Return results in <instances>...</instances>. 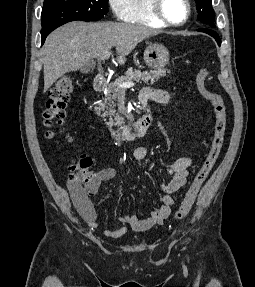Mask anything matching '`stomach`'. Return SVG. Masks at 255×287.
<instances>
[{"label": "stomach", "instance_id": "1", "mask_svg": "<svg viewBox=\"0 0 255 287\" xmlns=\"http://www.w3.org/2000/svg\"><path fill=\"white\" fill-rule=\"evenodd\" d=\"M169 60V52L163 44H152L150 42L144 52V62L151 70H161V68L167 66Z\"/></svg>", "mask_w": 255, "mask_h": 287}]
</instances>
